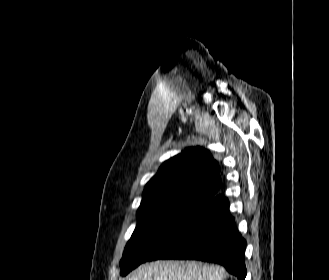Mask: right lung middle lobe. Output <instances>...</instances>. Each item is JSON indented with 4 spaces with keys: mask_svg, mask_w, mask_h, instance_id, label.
I'll return each instance as SVG.
<instances>
[{
    "mask_svg": "<svg viewBox=\"0 0 329 280\" xmlns=\"http://www.w3.org/2000/svg\"><path fill=\"white\" fill-rule=\"evenodd\" d=\"M206 203V200L175 197L157 201L140 211L137 226L120 261L121 274H128L152 258Z\"/></svg>",
    "mask_w": 329,
    "mask_h": 280,
    "instance_id": "dd1d6c3e",
    "label": "right lung middle lobe"
}]
</instances>
